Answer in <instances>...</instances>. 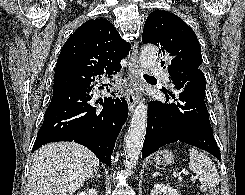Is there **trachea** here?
Masks as SVG:
<instances>
[{
  "label": "trachea",
  "mask_w": 245,
  "mask_h": 195,
  "mask_svg": "<svg viewBox=\"0 0 245 195\" xmlns=\"http://www.w3.org/2000/svg\"><path fill=\"white\" fill-rule=\"evenodd\" d=\"M143 76H144V78H153V76L146 75V74H144Z\"/></svg>",
  "instance_id": "1"
}]
</instances>
